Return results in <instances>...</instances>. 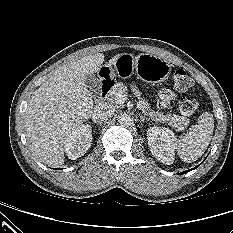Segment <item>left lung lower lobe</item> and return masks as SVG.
Segmentation results:
<instances>
[{
	"label": "left lung lower lobe",
	"instance_id": "obj_1",
	"mask_svg": "<svg viewBox=\"0 0 233 233\" xmlns=\"http://www.w3.org/2000/svg\"><path fill=\"white\" fill-rule=\"evenodd\" d=\"M199 166V165H198ZM198 166H196L195 168H197ZM194 168V169H195ZM191 170H193V169H190V170H187V171H184V172H181V173H179V174H184V173H187V172H189V171H191Z\"/></svg>",
	"mask_w": 233,
	"mask_h": 233
}]
</instances>
